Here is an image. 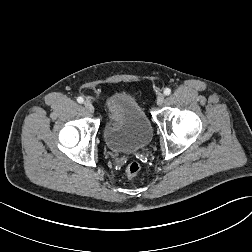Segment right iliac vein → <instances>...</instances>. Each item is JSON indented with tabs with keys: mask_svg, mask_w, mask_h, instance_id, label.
<instances>
[{
	"mask_svg": "<svg viewBox=\"0 0 252 252\" xmlns=\"http://www.w3.org/2000/svg\"><path fill=\"white\" fill-rule=\"evenodd\" d=\"M84 106H85V108H86L90 113H93V112H94V106H93V104H92L90 101L86 100V101L84 102Z\"/></svg>",
	"mask_w": 252,
	"mask_h": 252,
	"instance_id": "obj_1",
	"label": "right iliac vein"
}]
</instances>
